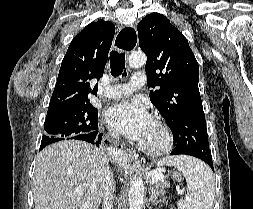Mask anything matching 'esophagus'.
<instances>
[{
	"instance_id": "1",
	"label": "esophagus",
	"mask_w": 253,
	"mask_h": 209,
	"mask_svg": "<svg viewBox=\"0 0 253 209\" xmlns=\"http://www.w3.org/2000/svg\"><path fill=\"white\" fill-rule=\"evenodd\" d=\"M138 43V36L136 27L134 25H127L122 27L118 33L115 36L113 46L117 48L118 50L125 51L126 54H129L132 52ZM116 154L118 156L127 155L128 159L125 158H119V162L122 164L126 163H132L135 159V154L132 150L125 147L124 144H120L116 148ZM135 163H138V161H135Z\"/></svg>"
}]
</instances>
